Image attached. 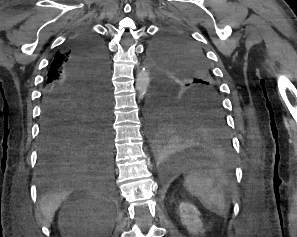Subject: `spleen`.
I'll list each match as a JSON object with an SVG mask.
<instances>
[{"label": "spleen", "mask_w": 297, "mask_h": 237, "mask_svg": "<svg viewBox=\"0 0 297 237\" xmlns=\"http://www.w3.org/2000/svg\"><path fill=\"white\" fill-rule=\"evenodd\" d=\"M225 183L220 174L195 170L185 177L184 187L196 196L209 211L224 216L227 213Z\"/></svg>", "instance_id": "1"}]
</instances>
